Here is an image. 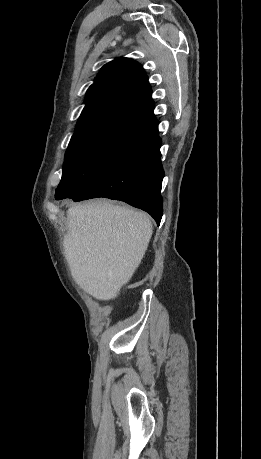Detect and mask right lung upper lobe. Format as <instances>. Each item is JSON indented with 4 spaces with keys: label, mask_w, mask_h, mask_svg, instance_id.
I'll list each match as a JSON object with an SVG mask.
<instances>
[{
    "label": "right lung upper lobe",
    "mask_w": 261,
    "mask_h": 459,
    "mask_svg": "<svg viewBox=\"0 0 261 459\" xmlns=\"http://www.w3.org/2000/svg\"><path fill=\"white\" fill-rule=\"evenodd\" d=\"M151 87L142 66L128 58L102 67L86 93L85 103L72 136L86 135L112 125H145L155 128Z\"/></svg>",
    "instance_id": "obj_1"
}]
</instances>
